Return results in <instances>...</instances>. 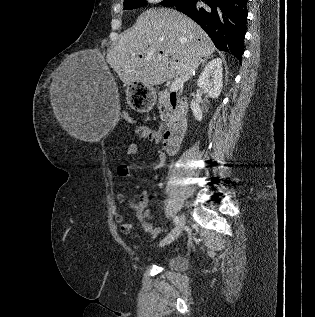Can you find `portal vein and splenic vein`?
I'll return each mask as SVG.
<instances>
[{
	"mask_svg": "<svg viewBox=\"0 0 315 317\" xmlns=\"http://www.w3.org/2000/svg\"><path fill=\"white\" fill-rule=\"evenodd\" d=\"M183 84V80L182 78H176L171 86H170V91H175V90H178V88Z\"/></svg>",
	"mask_w": 315,
	"mask_h": 317,
	"instance_id": "portal-vein-and-splenic-vein-1",
	"label": "portal vein and splenic vein"
}]
</instances>
